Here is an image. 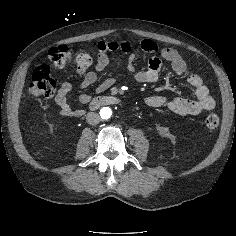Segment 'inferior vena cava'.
Instances as JSON below:
<instances>
[{
    "mask_svg": "<svg viewBox=\"0 0 236 236\" xmlns=\"http://www.w3.org/2000/svg\"><path fill=\"white\" fill-rule=\"evenodd\" d=\"M86 121L90 125H97L101 121V117L95 112H89L87 114Z\"/></svg>",
    "mask_w": 236,
    "mask_h": 236,
    "instance_id": "inferior-vena-cava-1",
    "label": "inferior vena cava"
}]
</instances>
